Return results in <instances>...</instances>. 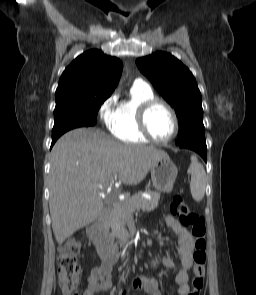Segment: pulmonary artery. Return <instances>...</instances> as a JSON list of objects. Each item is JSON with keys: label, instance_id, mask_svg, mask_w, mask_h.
Listing matches in <instances>:
<instances>
[{"label": "pulmonary artery", "instance_id": "pulmonary-artery-1", "mask_svg": "<svg viewBox=\"0 0 256 295\" xmlns=\"http://www.w3.org/2000/svg\"><path fill=\"white\" fill-rule=\"evenodd\" d=\"M134 85H136V86H146V87H149V85L145 81H143L141 79L135 80Z\"/></svg>", "mask_w": 256, "mask_h": 295}]
</instances>
